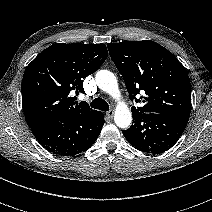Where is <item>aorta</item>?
I'll use <instances>...</instances> for the list:
<instances>
[{
    "label": "aorta",
    "instance_id": "1",
    "mask_svg": "<svg viewBox=\"0 0 212 212\" xmlns=\"http://www.w3.org/2000/svg\"><path fill=\"white\" fill-rule=\"evenodd\" d=\"M97 86L113 98L120 97V90L115 75L108 70H100L95 76ZM114 121L119 128H127L132 122V114L125 103H119L114 114Z\"/></svg>",
    "mask_w": 212,
    "mask_h": 212
}]
</instances>
